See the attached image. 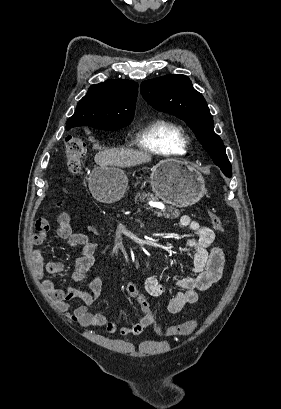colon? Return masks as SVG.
<instances>
[{
  "label": "colon",
  "mask_w": 281,
  "mask_h": 409,
  "mask_svg": "<svg viewBox=\"0 0 281 409\" xmlns=\"http://www.w3.org/2000/svg\"><path fill=\"white\" fill-rule=\"evenodd\" d=\"M84 152H85V144L81 140L77 139L74 136L68 137V139L66 140V146H65V157L70 167L75 169L79 166L80 161L84 155ZM210 222L217 231L224 230L223 221L221 217L217 215L216 213L210 214ZM196 327H197V324L195 322H187V323L181 322L180 330L178 328H170L168 330V333L170 335H178L179 333L181 335H187L189 333L188 329H195ZM156 331L160 332V329L156 327Z\"/></svg>",
  "instance_id": "obj_1"
}]
</instances>
